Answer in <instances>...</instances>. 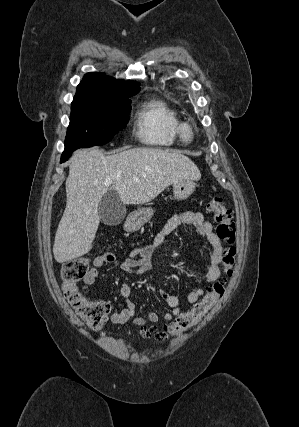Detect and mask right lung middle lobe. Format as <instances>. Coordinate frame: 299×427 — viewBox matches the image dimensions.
I'll return each instance as SVG.
<instances>
[{
    "instance_id": "1",
    "label": "right lung middle lobe",
    "mask_w": 299,
    "mask_h": 427,
    "mask_svg": "<svg viewBox=\"0 0 299 427\" xmlns=\"http://www.w3.org/2000/svg\"><path fill=\"white\" fill-rule=\"evenodd\" d=\"M130 103L129 97L73 101L63 153L108 143L116 132L125 128Z\"/></svg>"
}]
</instances>
